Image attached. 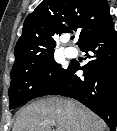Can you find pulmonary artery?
Listing matches in <instances>:
<instances>
[{"label":"pulmonary artery","mask_w":117,"mask_h":131,"mask_svg":"<svg viewBox=\"0 0 117 131\" xmlns=\"http://www.w3.org/2000/svg\"><path fill=\"white\" fill-rule=\"evenodd\" d=\"M76 50L74 49V48H67L66 50H65V54H66V56L67 57H69V58H73V57H75L76 56Z\"/></svg>","instance_id":"1"}]
</instances>
